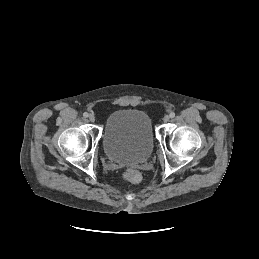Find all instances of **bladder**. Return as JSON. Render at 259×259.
I'll use <instances>...</instances> for the list:
<instances>
[{
  "label": "bladder",
  "mask_w": 259,
  "mask_h": 259,
  "mask_svg": "<svg viewBox=\"0 0 259 259\" xmlns=\"http://www.w3.org/2000/svg\"><path fill=\"white\" fill-rule=\"evenodd\" d=\"M102 145L107 158L114 162H145L154 147L150 117L136 109H119L112 112L104 124Z\"/></svg>",
  "instance_id": "obj_1"
}]
</instances>
